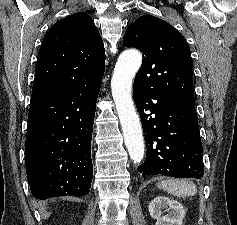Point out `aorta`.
<instances>
[{"instance_id": "762f6f07", "label": "aorta", "mask_w": 237, "mask_h": 225, "mask_svg": "<svg viewBox=\"0 0 237 225\" xmlns=\"http://www.w3.org/2000/svg\"><path fill=\"white\" fill-rule=\"evenodd\" d=\"M142 63L137 50L121 53L111 80V91L123 131L125 146L135 164L141 163L144 152V138L139 116L132 98L133 79Z\"/></svg>"}]
</instances>
